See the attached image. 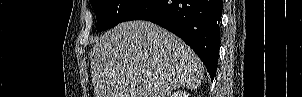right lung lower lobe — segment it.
Instances as JSON below:
<instances>
[{
  "label": "right lung lower lobe",
  "mask_w": 302,
  "mask_h": 97,
  "mask_svg": "<svg viewBox=\"0 0 302 97\" xmlns=\"http://www.w3.org/2000/svg\"><path fill=\"white\" fill-rule=\"evenodd\" d=\"M222 9V0H141L122 22L147 20L173 32L195 51L213 80Z\"/></svg>",
  "instance_id": "right-lung-lower-lobe-1"
}]
</instances>
